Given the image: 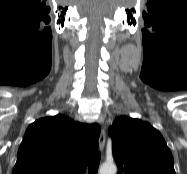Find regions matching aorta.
<instances>
[{
	"label": "aorta",
	"mask_w": 187,
	"mask_h": 174,
	"mask_svg": "<svg viewBox=\"0 0 187 174\" xmlns=\"http://www.w3.org/2000/svg\"><path fill=\"white\" fill-rule=\"evenodd\" d=\"M117 167L113 163H103L99 169L100 174H116Z\"/></svg>",
	"instance_id": "762f6f07"
}]
</instances>
